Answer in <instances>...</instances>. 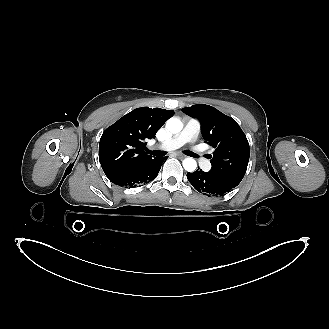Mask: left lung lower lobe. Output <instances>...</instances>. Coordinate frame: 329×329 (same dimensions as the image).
<instances>
[{"mask_svg": "<svg viewBox=\"0 0 329 329\" xmlns=\"http://www.w3.org/2000/svg\"><path fill=\"white\" fill-rule=\"evenodd\" d=\"M187 178L198 192L207 196H222L238 186L225 178L211 172H204L201 169L187 173Z\"/></svg>", "mask_w": 329, "mask_h": 329, "instance_id": "obj_1", "label": "left lung lower lobe"}]
</instances>
